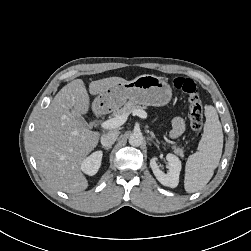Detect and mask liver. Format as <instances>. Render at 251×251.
I'll list each match as a JSON object with an SVG mask.
<instances>
[{
	"label": "liver",
	"instance_id": "obj_1",
	"mask_svg": "<svg viewBox=\"0 0 251 251\" xmlns=\"http://www.w3.org/2000/svg\"><path fill=\"white\" fill-rule=\"evenodd\" d=\"M125 81L120 77L92 81L89 92L97 95ZM89 107L83 80H73L56 94L33 134V154L40 172L51 186L67 193L76 194L88 187L81 164L97 146L100 133L85 128L74 113L86 114Z\"/></svg>",
	"mask_w": 251,
	"mask_h": 251
}]
</instances>
